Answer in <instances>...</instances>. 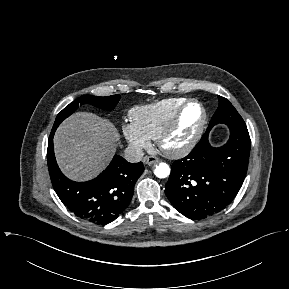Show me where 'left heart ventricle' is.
<instances>
[{"label":"left heart ventricle","mask_w":289,"mask_h":289,"mask_svg":"<svg viewBox=\"0 0 289 289\" xmlns=\"http://www.w3.org/2000/svg\"><path fill=\"white\" fill-rule=\"evenodd\" d=\"M202 118V112L197 104H190L184 111L180 124L169 144L173 146L181 145L187 142L197 130Z\"/></svg>","instance_id":"left-heart-ventricle-1"}]
</instances>
